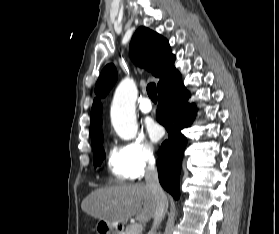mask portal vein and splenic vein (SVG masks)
I'll return each mask as SVG.
<instances>
[{"instance_id":"portal-vein-and-splenic-vein-1","label":"portal vein and splenic vein","mask_w":279,"mask_h":234,"mask_svg":"<svg viewBox=\"0 0 279 234\" xmlns=\"http://www.w3.org/2000/svg\"><path fill=\"white\" fill-rule=\"evenodd\" d=\"M142 231V225L141 224H134L133 227H132V233H136V232H139L141 233Z\"/></svg>"}]
</instances>
